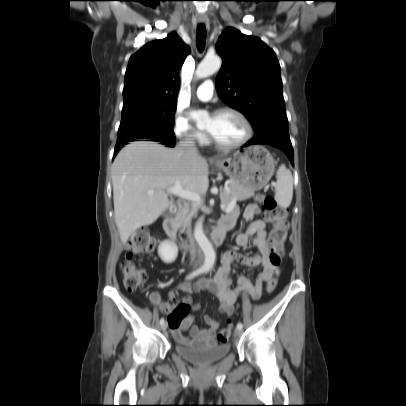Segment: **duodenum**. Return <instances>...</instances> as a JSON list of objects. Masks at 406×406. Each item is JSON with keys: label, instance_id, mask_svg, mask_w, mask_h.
Listing matches in <instances>:
<instances>
[{"label": "duodenum", "instance_id": "obj_1", "mask_svg": "<svg viewBox=\"0 0 406 406\" xmlns=\"http://www.w3.org/2000/svg\"><path fill=\"white\" fill-rule=\"evenodd\" d=\"M187 209V204L184 202L177 203V210L171 216H168L164 220V231L168 235V237L177 242L180 249L182 251H188L189 244H188V237L186 235H179V220L181 218L182 213ZM233 222L230 221H220L218 225L214 228L212 232V240L215 245L219 246L223 243L226 233L233 227Z\"/></svg>", "mask_w": 406, "mask_h": 406}]
</instances>
